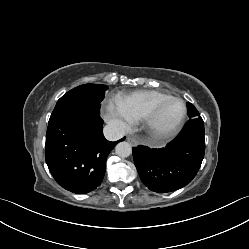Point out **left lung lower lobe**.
<instances>
[{
    "label": "left lung lower lobe",
    "instance_id": "0a47b994",
    "mask_svg": "<svg viewBox=\"0 0 249 249\" xmlns=\"http://www.w3.org/2000/svg\"><path fill=\"white\" fill-rule=\"evenodd\" d=\"M132 153L141 181L150 190L166 193L180 189L195 177L204 158V122L190 119L165 148L138 146Z\"/></svg>",
    "mask_w": 249,
    "mask_h": 249
}]
</instances>
